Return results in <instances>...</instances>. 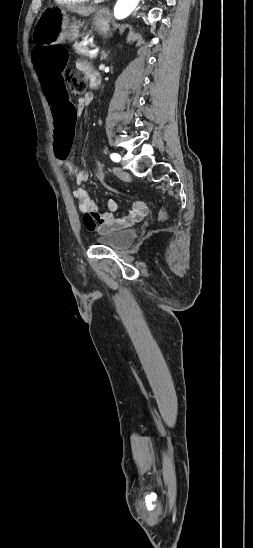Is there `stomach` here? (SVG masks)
<instances>
[{"label": "stomach", "instance_id": "stomach-1", "mask_svg": "<svg viewBox=\"0 0 253 548\" xmlns=\"http://www.w3.org/2000/svg\"><path fill=\"white\" fill-rule=\"evenodd\" d=\"M93 25L97 33L107 35L110 30L107 17L104 13L95 16ZM80 23L74 21L69 23L66 12L62 9L53 8L44 11L38 19L34 40L37 44H57L68 39L75 41L79 35Z\"/></svg>", "mask_w": 253, "mask_h": 548}]
</instances>
